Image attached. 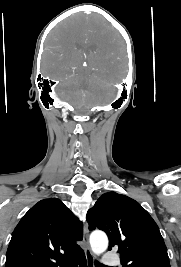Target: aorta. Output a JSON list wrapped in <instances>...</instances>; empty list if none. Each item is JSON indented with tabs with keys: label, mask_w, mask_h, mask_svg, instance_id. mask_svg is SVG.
Listing matches in <instances>:
<instances>
[{
	"label": "aorta",
	"mask_w": 181,
	"mask_h": 267,
	"mask_svg": "<svg viewBox=\"0 0 181 267\" xmlns=\"http://www.w3.org/2000/svg\"><path fill=\"white\" fill-rule=\"evenodd\" d=\"M91 249L95 254L105 252L108 247V238L104 232L95 231L90 235Z\"/></svg>",
	"instance_id": "obj_1"
}]
</instances>
